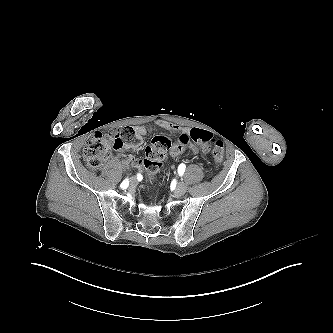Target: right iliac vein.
I'll return each instance as SVG.
<instances>
[{
  "instance_id": "63e3f726",
  "label": "right iliac vein",
  "mask_w": 333,
  "mask_h": 333,
  "mask_svg": "<svg viewBox=\"0 0 333 333\" xmlns=\"http://www.w3.org/2000/svg\"><path fill=\"white\" fill-rule=\"evenodd\" d=\"M130 181H135V178H134V177H131V178H130Z\"/></svg>"
}]
</instances>
